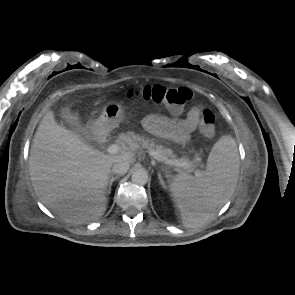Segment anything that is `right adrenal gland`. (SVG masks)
<instances>
[{"label":"right adrenal gland","mask_w":295,"mask_h":295,"mask_svg":"<svg viewBox=\"0 0 295 295\" xmlns=\"http://www.w3.org/2000/svg\"><path fill=\"white\" fill-rule=\"evenodd\" d=\"M120 176H112L108 182V189L106 191V194L109 195L111 193V187H112V184L113 182L118 179Z\"/></svg>","instance_id":"1"}]
</instances>
